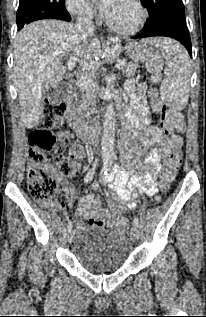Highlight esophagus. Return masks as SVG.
<instances>
[{
  "instance_id": "obj_1",
  "label": "esophagus",
  "mask_w": 206,
  "mask_h": 317,
  "mask_svg": "<svg viewBox=\"0 0 206 317\" xmlns=\"http://www.w3.org/2000/svg\"><path fill=\"white\" fill-rule=\"evenodd\" d=\"M108 40L113 41V40H116V39L114 37H108Z\"/></svg>"
}]
</instances>
